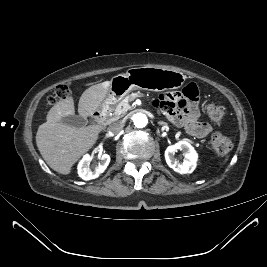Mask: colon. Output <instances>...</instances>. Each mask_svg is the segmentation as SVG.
<instances>
[{
	"instance_id": "obj_1",
	"label": "colon",
	"mask_w": 267,
	"mask_h": 267,
	"mask_svg": "<svg viewBox=\"0 0 267 267\" xmlns=\"http://www.w3.org/2000/svg\"><path fill=\"white\" fill-rule=\"evenodd\" d=\"M69 91L70 90L67 85L57 86L53 94L49 97V103L55 104L59 100L66 98L69 94ZM204 110L210 120L215 124L221 123L225 115V108L214 102L207 103L204 106ZM210 147L216 153L220 155H225L231 150L232 141L229 137L222 135L218 131H215L210 139Z\"/></svg>"
}]
</instances>
